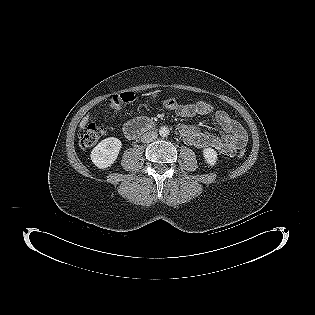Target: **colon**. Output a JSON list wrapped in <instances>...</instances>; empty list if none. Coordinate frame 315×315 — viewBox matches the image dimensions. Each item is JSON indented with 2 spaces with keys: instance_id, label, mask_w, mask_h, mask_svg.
Masks as SVG:
<instances>
[{
  "instance_id": "colon-1",
  "label": "colon",
  "mask_w": 315,
  "mask_h": 315,
  "mask_svg": "<svg viewBox=\"0 0 315 315\" xmlns=\"http://www.w3.org/2000/svg\"><path fill=\"white\" fill-rule=\"evenodd\" d=\"M137 95L135 92H121L115 94L109 100V108L111 110L118 109L124 104L131 103L135 101ZM180 103L174 98H167L163 101V105L168 109L176 108ZM105 132V128L102 125H98L95 123H89L86 127H84L79 133V141L80 146L84 149L90 148L95 145L99 139L103 136ZM238 159L243 160L247 156V151L245 149H239L236 153Z\"/></svg>"
}]
</instances>
